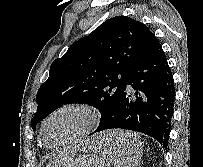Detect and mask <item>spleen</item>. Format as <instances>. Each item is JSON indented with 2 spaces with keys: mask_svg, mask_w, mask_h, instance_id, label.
Returning <instances> with one entry per match:
<instances>
[{
  "mask_svg": "<svg viewBox=\"0 0 203 167\" xmlns=\"http://www.w3.org/2000/svg\"><path fill=\"white\" fill-rule=\"evenodd\" d=\"M99 152L107 156L114 167H137L142 156L141 141L139 138H135L131 147H124L121 143L117 149L101 147Z\"/></svg>",
  "mask_w": 203,
  "mask_h": 167,
  "instance_id": "1",
  "label": "spleen"
}]
</instances>
